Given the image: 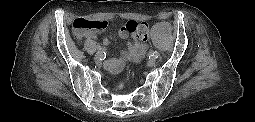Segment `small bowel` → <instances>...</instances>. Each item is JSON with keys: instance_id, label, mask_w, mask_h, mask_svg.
<instances>
[{"instance_id": "1", "label": "small bowel", "mask_w": 255, "mask_h": 122, "mask_svg": "<svg viewBox=\"0 0 255 122\" xmlns=\"http://www.w3.org/2000/svg\"><path fill=\"white\" fill-rule=\"evenodd\" d=\"M130 32L122 26L119 30V36L123 39L129 36ZM98 35L97 31H89L82 38H89L91 40L96 39ZM148 36L144 40H140L136 32H131V41L128 42L127 48L121 51L120 56L115 59H110L106 62V68L110 71H120L124 63L127 60L138 62L144 55L147 50V41ZM103 44L107 46L109 44V39L104 38Z\"/></svg>"}]
</instances>
